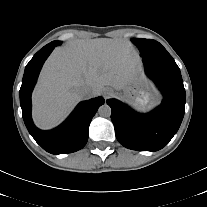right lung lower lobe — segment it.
I'll use <instances>...</instances> for the list:
<instances>
[{"mask_svg":"<svg viewBox=\"0 0 207 207\" xmlns=\"http://www.w3.org/2000/svg\"><path fill=\"white\" fill-rule=\"evenodd\" d=\"M54 45L39 50L27 64L20 88V105L24 123L34 140L51 154H67L82 149L88 140L89 125L98 108L104 104L97 97L78 104L64 123L53 130H40L31 118V93L41 67Z\"/></svg>","mask_w":207,"mask_h":207,"instance_id":"obj_1","label":"right lung lower lobe"}]
</instances>
